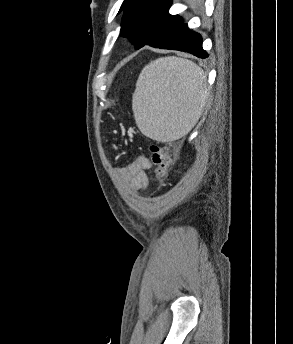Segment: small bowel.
I'll use <instances>...</instances> for the list:
<instances>
[{
	"instance_id": "c3829d8e",
	"label": "small bowel",
	"mask_w": 293,
	"mask_h": 344,
	"mask_svg": "<svg viewBox=\"0 0 293 344\" xmlns=\"http://www.w3.org/2000/svg\"><path fill=\"white\" fill-rule=\"evenodd\" d=\"M150 167V161L143 155L138 156L128 165L122 172L128 188L134 192L145 190L148 184V178L145 171Z\"/></svg>"
}]
</instances>
